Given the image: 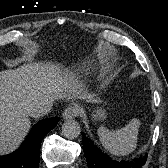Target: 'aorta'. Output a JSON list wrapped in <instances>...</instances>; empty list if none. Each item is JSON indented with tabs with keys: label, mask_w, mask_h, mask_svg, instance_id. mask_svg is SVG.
<instances>
[{
	"label": "aorta",
	"mask_w": 168,
	"mask_h": 168,
	"mask_svg": "<svg viewBox=\"0 0 168 168\" xmlns=\"http://www.w3.org/2000/svg\"><path fill=\"white\" fill-rule=\"evenodd\" d=\"M80 132V125L75 120H67L62 125V134L68 139L77 138Z\"/></svg>",
	"instance_id": "aorta-1"
}]
</instances>
